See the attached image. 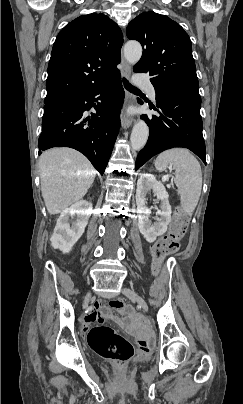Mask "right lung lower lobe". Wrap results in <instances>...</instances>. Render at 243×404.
Here are the masks:
<instances>
[{"label":"right lung lower lobe","instance_id":"1","mask_svg":"<svg viewBox=\"0 0 243 404\" xmlns=\"http://www.w3.org/2000/svg\"><path fill=\"white\" fill-rule=\"evenodd\" d=\"M99 94L97 99L101 103L95 108L96 114L85 118L84 111L91 108V103L97 101L94 97ZM123 98L118 76L86 93L45 104L39 153L57 146L74 148L102 175L119 131Z\"/></svg>","mask_w":243,"mask_h":404}]
</instances>
